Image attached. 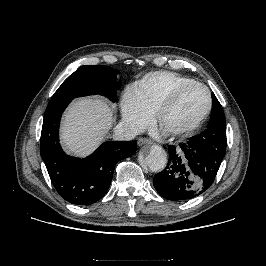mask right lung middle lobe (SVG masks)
Wrapping results in <instances>:
<instances>
[{
  "label": "right lung middle lobe",
  "instance_id": "1",
  "mask_svg": "<svg viewBox=\"0 0 266 266\" xmlns=\"http://www.w3.org/2000/svg\"><path fill=\"white\" fill-rule=\"evenodd\" d=\"M119 72L108 66H81L71 74L53 96L72 98L100 94L116 101V91L120 83L115 76Z\"/></svg>",
  "mask_w": 266,
  "mask_h": 266
}]
</instances>
